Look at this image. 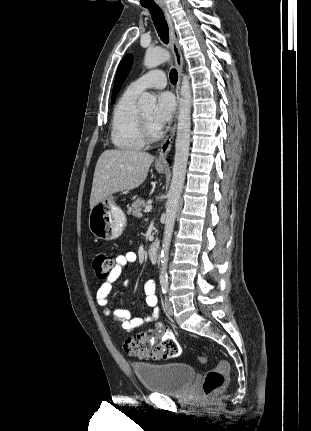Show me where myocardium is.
Segmentation results:
<instances>
[{
	"instance_id": "myocardium-1",
	"label": "myocardium",
	"mask_w": 311,
	"mask_h": 431,
	"mask_svg": "<svg viewBox=\"0 0 311 431\" xmlns=\"http://www.w3.org/2000/svg\"><path fill=\"white\" fill-rule=\"evenodd\" d=\"M139 130L140 137L144 143H155L162 137L161 132H154L150 123L142 112L139 113Z\"/></svg>"
}]
</instances>
